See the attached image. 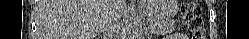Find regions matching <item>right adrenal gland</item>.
<instances>
[{
  "instance_id": "obj_1",
  "label": "right adrenal gland",
  "mask_w": 249,
  "mask_h": 39,
  "mask_svg": "<svg viewBox=\"0 0 249 39\" xmlns=\"http://www.w3.org/2000/svg\"><path fill=\"white\" fill-rule=\"evenodd\" d=\"M101 32H103L104 34H107L104 30H102ZM108 34H110V33H108Z\"/></svg>"
}]
</instances>
